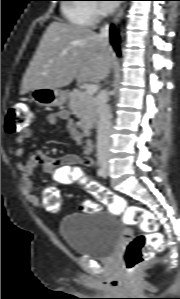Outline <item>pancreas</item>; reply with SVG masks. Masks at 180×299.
I'll list each match as a JSON object with an SVG mask.
<instances>
[{
  "label": "pancreas",
  "mask_w": 180,
  "mask_h": 299,
  "mask_svg": "<svg viewBox=\"0 0 180 299\" xmlns=\"http://www.w3.org/2000/svg\"><path fill=\"white\" fill-rule=\"evenodd\" d=\"M69 107L80 119L82 129H90L96 119L95 98L84 91L74 89L71 92Z\"/></svg>",
  "instance_id": "pancreas-1"
}]
</instances>
